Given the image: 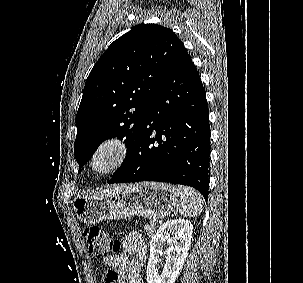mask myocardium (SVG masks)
<instances>
[{
  "mask_svg": "<svg viewBox=\"0 0 303 283\" xmlns=\"http://www.w3.org/2000/svg\"><path fill=\"white\" fill-rule=\"evenodd\" d=\"M107 155L105 164L101 165L100 160ZM129 155L127 141L118 135L107 136L102 139L92 150L88 166L92 174L96 176H107L119 169Z\"/></svg>",
  "mask_w": 303,
  "mask_h": 283,
  "instance_id": "myocardium-1",
  "label": "myocardium"
}]
</instances>
